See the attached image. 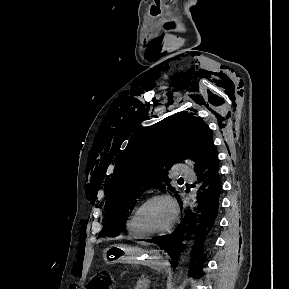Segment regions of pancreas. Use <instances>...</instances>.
I'll return each mask as SVG.
<instances>
[{
	"instance_id": "obj_1",
	"label": "pancreas",
	"mask_w": 289,
	"mask_h": 289,
	"mask_svg": "<svg viewBox=\"0 0 289 289\" xmlns=\"http://www.w3.org/2000/svg\"><path fill=\"white\" fill-rule=\"evenodd\" d=\"M150 283L149 279L141 276V278L138 280L135 289H146L145 286Z\"/></svg>"
}]
</instances>
